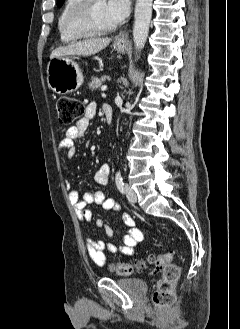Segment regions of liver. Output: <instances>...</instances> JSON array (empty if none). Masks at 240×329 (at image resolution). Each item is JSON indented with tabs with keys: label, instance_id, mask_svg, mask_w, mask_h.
Listing matches in <instances>:
<instances>
[{
	"label": "liver",
	"instance_id": "liver-1",
	"mask_svg": "<svg viewBox=\"0 0 240 329\" xmlns=\"http://www.w3.org/2000/svg\"><path fill=\"white\" fill-rule=\"evenodd\" d=\"M110 41L111 39L108 37L91 38L70 45L61 46L52 51L50 59L68 55L90 56L106 48Z\"/></svg>",
	"mask_w": 240,
	"mask_h": 329
}]
</instances>
